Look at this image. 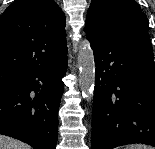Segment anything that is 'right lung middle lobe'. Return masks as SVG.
<instances>
[{
	"label": "right lung middle lobe",
	"instance_id": "1",
	"mask_svg": "<svg viewBox=\"0 0 155 149\" xmlns=\"http://www.w3.org/2000/svg\"><path fill=\"white\" fill-rule=\"evenodd\" d=\"M22 77L23 74L20 72L11 70L0 71V89L11 86H17L20 83Z\"/></svg>",
	"mask_w": 155,
	"mask_h": 149
}]
</instances>
